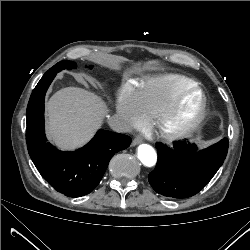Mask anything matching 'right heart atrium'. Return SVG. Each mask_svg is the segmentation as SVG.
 <instances>
[{"mask_svg": "<svg viewBox=\"0 0 250 250\" xmlns=\"http://www.w3.org/2000/svg\"><path fill=\"white\" fill-rule=\"evenodd\" d=\"M117 112L126 130L143 128L148 123L135 91L129 87H124L119 93Z\"/></svg>", "mask_w": 250, "mask_h": 250, "instance_id": "obj_1", "label": "right heart atrium"}]
</instances>
